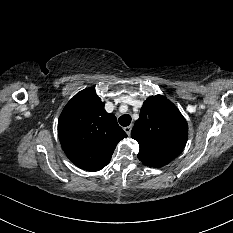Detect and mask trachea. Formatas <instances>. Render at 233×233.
I'll return each instance as SVG.
<instances>
[{
  "label": "trachea",
  "instance_id": "3493384b",
  "mask_svg": "<svg viewBox=\"0 0 233 233\" xmlns=\"http://www.w3.org/2000/svg\"><path fill=\"white\" fill-rule=\"evenodd\" d=\"M119 123L121 126H128L131 123V116L128 114L120 116Z\"/></svg>",
  "mask_w": 233,
  "mask_h": 233
}]
</instances>
